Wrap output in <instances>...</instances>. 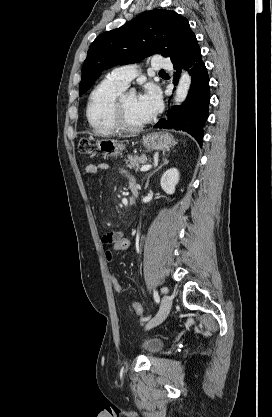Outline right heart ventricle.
Wrapping results in <instances>:
<instances>
[{
	"label": "right heart ventricle",
	"mask_w": 272,
	"mask_h": 417,
	"mask_svg": "<svg viewBox=\"0 0 272 417\" xmlns=\"http://www.w3.org/2000/svg\"><path fill=\"white\" fill-rule=\"evenodd\" d=\"M125 88L107 76L91 91L86 106V117L96 134L112 136L118 132L113 122L112 112L115 100Z\"/></svg>",
	"instance_id": "1"
}]
</instances>
